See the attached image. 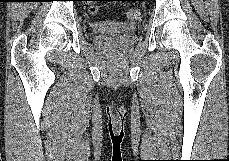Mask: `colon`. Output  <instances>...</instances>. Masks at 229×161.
Instances as JSON below:
<instances>
[{"instance_id":"obj_1","label":"colon","mask_w":229,"mask_h":161,"mask_svg":"<svg viewBox=\"0 0 229 161\" xmlns=\"http://www.w3.org/2000/svg\"><path fill=\"white\" fill-rule=\"evenodd\" d=\"M97 1L101 0H90L89 12L91 14H97L99 11V7L96 4ZM126 16L129 20H138L141 17V10L136 7L130 8L127 10Z\"/></svg>"}]
</instances>
